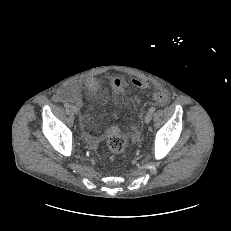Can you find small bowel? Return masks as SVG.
Listing matches in <instances>:
<instances>
[{
  "label": "small bowel",
  "mask_w": 231,
  "mask_h": 231,
  "mask_svg": "<svg viewBox=\"0 0 231 231\" xmlns=\"http://www.w3.org/2000/svg\"><path fill=\"white\" fill-rule=\"evenodd\" d=\"M99 81L96 78H88L83 83L73 82L62 90L65 99L75 102L82 110V126L85 130V139L92 148H97L99 140L96 136L88 132L91 126V113L84 101L82 90L85 89L88 94H93L99 88Z\"/></svg>",
  "instance_id": "obj_1"
}]
</instances>
